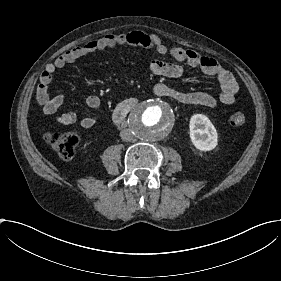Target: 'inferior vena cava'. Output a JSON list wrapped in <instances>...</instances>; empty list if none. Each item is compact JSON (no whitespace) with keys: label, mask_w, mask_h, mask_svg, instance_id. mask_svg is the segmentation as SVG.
<instances>
[{"label":"inferior vena cava","mask_w":281,"mask_h":281,"mask_svg":"<svg viewBox=\"0 0 281 281\" xmlns=\"http://www.w3.org/2000/svg\"><path fill=\"white\" fill-rule=\"evenodd\" d=\"M120 137H121V139L124 140V141H132L134 135L132 134V132H131L130 129H123V130L120 132Z\"/></svg>","instance_id":"inferior-vena-cava-1"}]
</instances>
